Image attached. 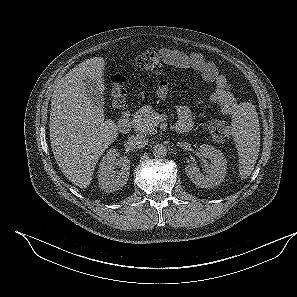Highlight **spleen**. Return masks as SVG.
<instances>
[{
	"mask_svg": "<svg viewBox=\"0 0 297 297\" xmlns=\"http://www.w3.org/2000/svg\"><path fill=\"white\" fill-rule=\"evenodd\" d=\"M232 127L239 154V174L245 179L252 173L260 149V124L255 107L242 104L232 118Z\"/></svg>",
	"mask_w": 297,
	"mask_h": 297,
	"instance_id": "3e777b00",
	"label": "spleen"
}]
</instances>
